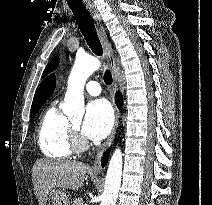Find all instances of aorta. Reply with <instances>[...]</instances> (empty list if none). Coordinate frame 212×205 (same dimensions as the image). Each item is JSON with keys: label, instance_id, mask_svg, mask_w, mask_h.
Segmentation results:
<instances>
[{"label": "aorta", "instance_id": "762f6f07", "mask_svg": "<svg viewBox=\"0 0 212 205\" xmlns=\"http://www.w3.org/2000/svg\"><path fill=\"white\" fill-rule=\"evenodd\" d=\"M101 62L92 56H77L68 79L63 112L68 116H81L84 112V86ZM123 154L118 147L113 152L106 174L104 192L100 205H116L121 185Z\"/></svg>", "mask_w": 212, "mask_h": 205}]
</instances>
